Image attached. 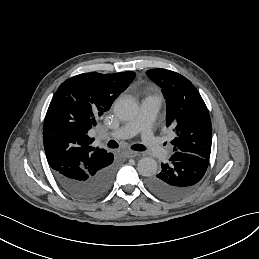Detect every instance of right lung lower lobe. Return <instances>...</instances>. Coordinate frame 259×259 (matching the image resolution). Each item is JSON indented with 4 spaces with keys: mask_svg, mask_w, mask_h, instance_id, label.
Here are the masks:
<instances>
[{
    "mask_svg": "<svg viewBox=\"0 0 259 259\" xmlns=\"http://www.w3.org/2000/svg\"><path fill=\"white\" fill-rule=\"evenodd\" d=\"M113 154L104 160V164L83 176H67L53 170V175L61 188L70 196L81 201L96 200L105 195L113 182L115 166Z\"/></svg>",
    "mask_w": 259,
    "mask_h": 259,
    "instance_id": "1",
    "label": "right lung lower lobe"
}]
</instances>
